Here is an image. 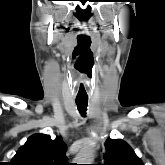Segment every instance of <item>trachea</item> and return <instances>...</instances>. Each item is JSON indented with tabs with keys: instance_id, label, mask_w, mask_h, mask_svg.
Listing matches in <instances>:
<instances>
[{
	"instance_id": "obj_1",
	"label": "trachea",
	"mask_w": 165,
	"mask_h": 165,
	"mask_svg": "<svg viewBox=\"0 0 165 165\" xmlns=\"http://www.w3.org/2000/svg\"><path fill=\"white\" fill-rule=\"evenodd\" d=\"M76 104H77L79 113L82 116H85L87 105H88V98H76Z\"/></svg>"
}]
</instances>
